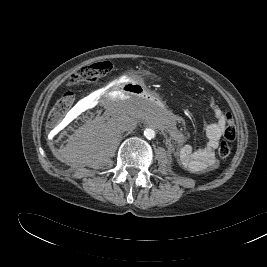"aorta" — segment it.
Wrapping results in <instances>:
<instances>
[{
	"label": "aorta",
	"mask_w": 267,
	"mask_h": 267,
	"mask_svg": "<svg viewBox=\"0 0 267 267\" xmlns=\"http://www.w3.org/2000/svg\"><path fill=\"white\" fill-rule=\"evenodd\" d=\"M145 138L151 140L155 137V131L152 128H147L144 131Z\"/></svg>",
	"instance_id": "762f6f07"
}]
</instances>
